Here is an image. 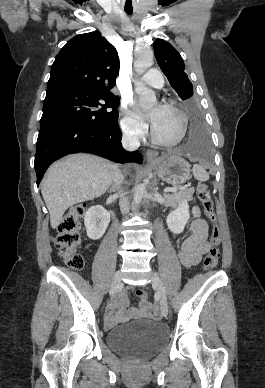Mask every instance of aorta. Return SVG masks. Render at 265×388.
<instances>
[{
  "instance_id": "aorta-1",
  "label": "aorta",
  "mask_w": 265,
  "mask_h": 388,
  "mask_svg": "<svg viewBox=\"0 0 265 388\" xmlns=\"http://www.w3.org/2000/svg\"><path fill=\"white\" fill-rule=\"evenodd\" d=\"M153 64V52L151 50L139 51L136 55L134 62L135 70L138 74H143L147 68ZM136 93L140 97L142 105H151L156 100L155 93L145 87L143 84H138L135 88ZM146 186L144 183H140L135 187L133 200L135 204H139L145 194Z\"/></svg>"
}]
</instances>
